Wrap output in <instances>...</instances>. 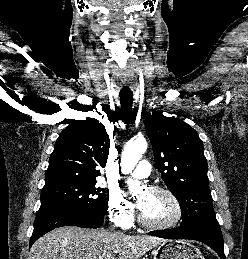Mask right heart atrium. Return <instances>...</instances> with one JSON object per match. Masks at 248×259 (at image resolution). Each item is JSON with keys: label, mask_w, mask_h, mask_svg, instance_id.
<instances>
[{"label": "right heart atrium", "mask_w": 248, "mask_h": 259, "mask_svg": "<svg viewBox=\"0 0 248 259\" xmlns=\"http://www.w3.org/2000/svg\"><path fill=\"white\" fill-rule=\"evenodd\" d=\"M108 214L115 225L127 228L133 222L134 208L119 191H111L108 198Z\"/></svg>", "instance_id": "1"}]
</instances>
